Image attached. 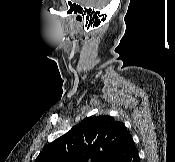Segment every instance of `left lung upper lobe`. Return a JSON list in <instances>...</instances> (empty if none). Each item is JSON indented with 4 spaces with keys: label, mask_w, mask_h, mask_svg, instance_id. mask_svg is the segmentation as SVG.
Segmentation results:
<instances>
[{
    "label": "left lung upper lobe",
    "mask_w": 175,
    "mask_h": 162,
    "mask_svg": "<svg viewBox=\"0 0 175 162\" xmlns=\"http://www.w3.org/2000/svg\"><path fill=\"white\" fill-rule=\"evenodd\" d=\"M127 132L111 116L88 117L47 145L35 162H109Z\"/></svg>",
    "instance_id": "obj_1"
}]
</instances>
